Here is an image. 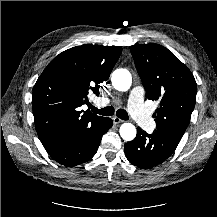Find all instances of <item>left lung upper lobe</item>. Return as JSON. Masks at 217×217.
Here are the masks:
<instances>
[{
  "label": "left lung upper lobe",
  "instance_id": "1",
  "mask_svg": "<svg viewBox=\"0 0 217 217\" xmlns=\"http://www.w3.org/2000/svg\"><path fill=\"white\" fill-rule=\"evenodd\" d=\"M146 98L158 101L156 128L179 139L190 123L196 103V81L191 71L159 44L130 46Z\"/></svg>",
  "mask_w": 217,
  "mask_h": 217
}]
</instances>
